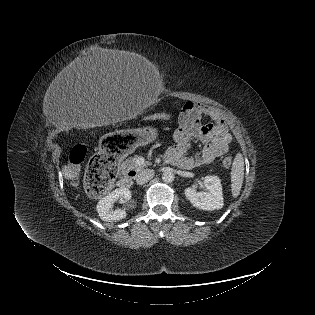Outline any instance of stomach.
Returning <instances> with one entry per match:
<instances>
[{"label":"stomach","instance_id":"obj_1","mask_svg":"<svg viewBox=\"0 0 315 315\" xmlns=\"http://www.w3.org/2000/svg\"><path fill=\"white\" fill-rule=\"evenodd\" d=\"M159 137L155 126H144L137 131L125 130L106 137L102 143L104 154L110 158H125L136 152L140 146L154 142Z\"/></svg>","mask_w":315,"mask_h":315}]
</instances>
